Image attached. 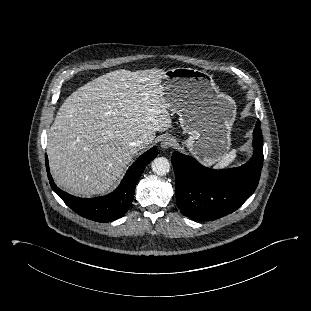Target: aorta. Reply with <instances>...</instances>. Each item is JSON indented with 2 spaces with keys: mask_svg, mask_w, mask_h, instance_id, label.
<instances>
[{
  "mask_svg": "<svg viewBox=\"0 0 311 311\" xmlns=\"http://www.w3.org/2000/svg\"><path fill=\"white\" fill-rule=\"evenodd\" d=\"M152 171L160 176L166 175L170 170V162L165 157H157L152 161Z\"/></svg>",
  "mask_w": 311,
  "mask_h": 311,
  "instance_id": "aorta-1",
  "label": "aorta"
}]
</instances>
